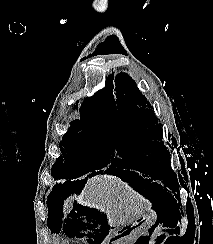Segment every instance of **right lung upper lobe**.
<instances>
[{
    "instance_id": "right-lung-upper-lobe-1",
    "label": "right lung upper lobe",
    "mask_w": 213,
    "mask_h": 244,
    "mask_svg": "<svg viewBox=\"0 0 213 244\" xmlns=\"http://www.w3.org/2000/svg\"><path fill=\"white\" fill-rule=\"evenodd\" d=\"M80 111L108 115L107 110L104 108L97 95L86 98L80 107Z\"/></svg>"
}]
</instances>
